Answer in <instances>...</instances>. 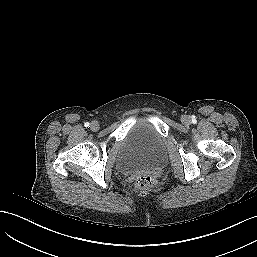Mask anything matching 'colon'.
Listing matches in <instances>:
<instances>
[{
	"label": "colon",
	"mask_w": 257,
	"mask_h": 257,
	"mask_svg": "<svg viewBox=\"0 0 257 257\" xmlns=\"http://www.w3.org/2000/svg\"><path fill=\"white\" fill-rule=\"evenodd\" d=\"M155 184L153 177L149 175L139 176L136 180V188L139 190H148L151 189Z\"/></svg>",
	"instance_id": "1"
}]
</instances>
